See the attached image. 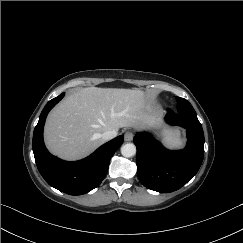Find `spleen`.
Masks as SVG:
<instances>
[{
	"label": "spleen",
	"instance_id": "3e777b00",
	"mask_svg": "<svg viewBox=\"0 0 243 243\" xmlns=\"http://www.w3.org/2000/svg\"><path fill=\"white\" fill-rule=\"evenodd\" d=\"M163 142L169 147H181L183 140L181 139L179 131H171L163 137Z\"/></svg>",
	"mask_w": 243,
	"mask_h": 243
}]
</instances>
